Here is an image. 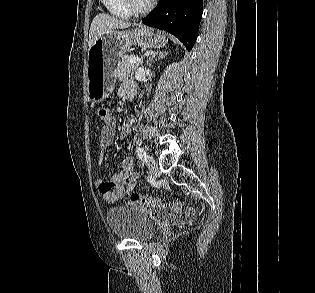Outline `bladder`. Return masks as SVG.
<instances>
[{
  "instance_id": "31cf9c89",
  "label": "bladder",
  "mask_w": 315,
  "mask_h": 293,
  "mask_svg": "<svg viewBox=\"0 0 315 293\" xmlns=\"http://www.w3.org/2000/svg\"><path fill=\"white\" fill-rule=\"evenodd\" d=\"M112 233L120 239L150 240L156 233L154 223L136 207H114L106 215Z\"/></svg>"
}]
</instances>
